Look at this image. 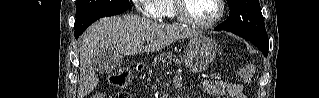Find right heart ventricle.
Returning a JSON list of instances; mask_svg holds the SVG:
<instances>
[{"label":"right heart ventricle","instance_id":"e07e8e85","mask_svg":"<svg viewBox=\"0 0 319 98\" xmlns=\"http://www.w3.org/2000/svg\"><path fill=\"white\" fill-rule=\"evenodd\" d=\"M149 7L153 8L160 18L177 19L173 1L153 0L149 2Z\"/></svg>","mask_w":319,"mask_h":98}]
</instances>
